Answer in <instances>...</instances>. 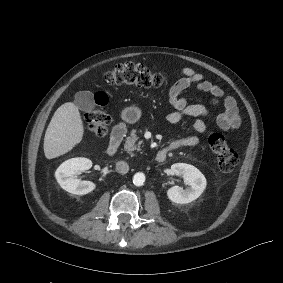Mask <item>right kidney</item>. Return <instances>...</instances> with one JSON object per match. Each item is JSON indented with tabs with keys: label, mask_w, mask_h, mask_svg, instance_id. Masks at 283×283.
Masks as SVG:
<instances>
[{
	"label": "right kidney",
	"mask_w": 283,
	"mask_h": 283,
	"mask_svg": "<svg viewBox=\"0 0 283 283\" xmlns=\"http://www.w3.org/2000/svg\"><path fill=\"white\" fill-rule=\"evenodd\" d=\"M91 167L92 161L87 158H71L57 168L55 177L61 188L67 192L76 195H85L94 190L96 186L91 181H81L75 178V175Z\"/></svg>",
	"instance_id": "ca27d5eb"
}]
</instances>
